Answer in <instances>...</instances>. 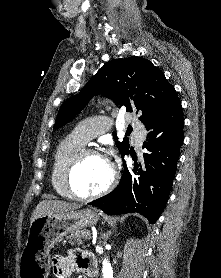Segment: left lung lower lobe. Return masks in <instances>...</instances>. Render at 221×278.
Listing matches in <instances>:
<instances>
[{"mask_svg":"<svg viewBox=\"0 0 221 278\" xmlns=\"http://www.w3.org/2000/svg\"><path fill=\"white\" fill-rule=\"evenodd\" d=\"M149 131L143 148L147 152L134 167L124 171L119 185L109 194L90 202L107 214L139 213L155 223L168 200L180 148L184 140V118L180 100L155 122L145 125Z\"/></svg>","mask_w":221,"mask_h":278,"instance_id":"obj_1","label":"left lung lower lobe"}]
</instances>
